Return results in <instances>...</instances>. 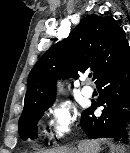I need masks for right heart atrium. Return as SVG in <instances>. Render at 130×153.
Here are the masks:
<instances>
[{"instance_id":"right-heart-atrium-1","label":"right heart atrium","mask_w":130,"mask_h":153,"mask_svg":"<svg viewBox=\"0 0 130 153\" xmlns=\"http://www.w3.org/2000/svg\"><path fill=\"white\" fill-rule=\"evenodd\" d=\"M48 113L51 138L54 142L65 138L77 123V111L67 102H54Z\"/></svg>"}]
</instances>
